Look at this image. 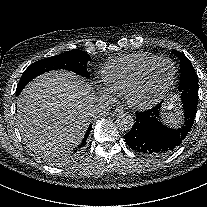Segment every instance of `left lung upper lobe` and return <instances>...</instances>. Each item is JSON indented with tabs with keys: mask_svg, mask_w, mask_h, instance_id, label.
<instances>
[{
	"mask_svg": "<svg viewBox=\"0 0 207 207\" xmlns=\"http://www.w3.org/2000/svg\"><path fill=\"white\" fill-rule=\"evenodd\" d=\"M173 53L180 59L181 75L179 91L182 92V102H198V78L188 58L177 50Z\"/></svg>",
	"mask_w": 207,
	"mask_h": 207,
	"instance_id": "5c2ea615",
	"label": "left lung upper lobe"
}]
</instances>
